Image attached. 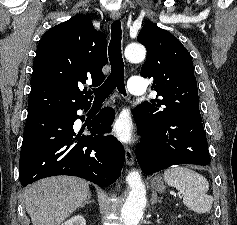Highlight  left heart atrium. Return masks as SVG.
I'll return each instance as SVG.
<instances>
[{
	"instance_id": "obj_1",
	"label": "left heart atrium",
	"mask_w": 237,
	"mask_h": 225,
	"mask_svg": "<svg viewBox=\"0 0 237 225\" xmlns=\"http://www.w3.org/2000/svg\"><path fill=\"white\" fill-rule=\"evenodd\" d=\"M113 133L122 141L131 139L130 121L128 117H120L113 126Z\"/></svg>"
}]
</instances>
